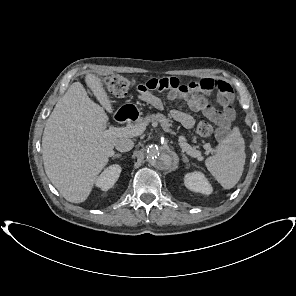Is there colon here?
I'll return each mask as SVG.
<instances>
[{"instance_id":"5ec220e1","label":"colon","mask_w":296,"mask_h":296,"mask_svg":"<svg viewBox=\"0 0 296 296\" xmlns=\"http://www.w3.org/2000/svg\"><path fill=\"white\" fill-rule=\"evenodd\" d=\"M133 79L124 77L122 75H111L102 81V85L105 91L111 95L123 97L134 86ZM219 112L213 108H209L207 117H216ZM197 132L201 137H208L213 132L212 125L207 121H201L197 126Z\"/></svg>"}]
</instances>
